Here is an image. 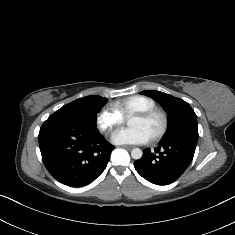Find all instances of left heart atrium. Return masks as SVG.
<instances>
[{"mask_svg":"<svg viewBox=\"0 0 235 235\" xmlns=\"http://www.w3.org/2000/svg\"><path fill=\"white\" fill-rule=\"evenodd\" d=\"M149 140L148 134L140 128L117 130L111 136V141L118 145L146 144Z\"/></svg>","mask_w":235,"mask_h":235,"instance_id":"1","label":"left heart atrium"}]
</instances>
